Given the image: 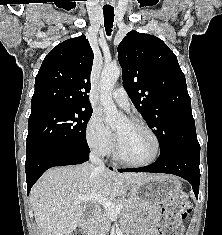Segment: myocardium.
Listing matches in <instances>:
<instances>
[{
	"label": "myocardium",
	"mask_w": 222,
	"mask_h": 235,
	"mask_svg": "<svg viewBox=\"0 0 222 235\" xmlns=\"http://www.w3.org/2000/svg\"><path fill=\"white\" fill-rule=\"evenodd\" d=\"M128 122L132 125V126H135V127H138V128H142L144 130H146L152 137L153 139L155 140V143H156V151H155V154L154 156L149 159L148 161H145V162H134V161H131L129 159H127L122 151H121V148H120V144H119V141H118V138L116 137V142H115V158L125 164V165H128V166H131V167H146V166H149L153 163H155L158 158L160 157L161 155V151H162V145H161V141H160V138L159 136L157 135V133L148 125L146 124L145 122L139 120V119H136V118H131L128 120Z\"/></svg>",
	"instance_id": "myocardium-1"
}]
</instances>
